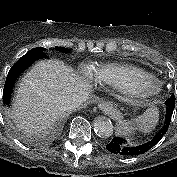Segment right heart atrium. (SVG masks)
<instances>
[{
  "label": "right heart atrium",
  "mask_w": 177,
  "mask_h": 177,
  "mask_svg": "<svg viewBox=\"0 0 177 177\" xmlns=\"http://www.w3.org/2000/svg\"><path fill=\"white\" fill-rule=\"evenodd\" d=\"M85 74H86V76H89V72H86Z\"/></svg>",
  "instance_id": "obj_1"
}]
</instances>
